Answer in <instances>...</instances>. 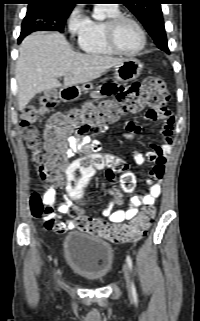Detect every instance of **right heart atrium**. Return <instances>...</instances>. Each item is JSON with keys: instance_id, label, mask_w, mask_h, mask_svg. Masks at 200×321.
Masks as SVG:
<instances>
[{"instance_id": "right-heart-atrium-1", "label": "right heart atrium", "mask_w": 200, "mask_h": 321, "mask_svg": "<svg viewBox=\"0 0 200 321\" xmlns=\"http://www.w3.org/2000/svg\"><path fill=\"white\" fill-rule=\"evenodd\" d=\"M87 17L83 14L81 8L75 7L67 18V27L71 35H79L87 24Z\"/></svg>"}]
</instances>
